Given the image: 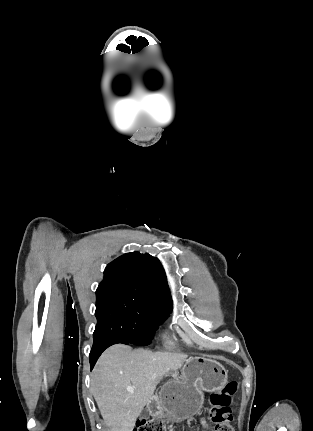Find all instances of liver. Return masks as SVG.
I'll return each instance as SVG.
<instances>
[{
    "label": "liver",
    "mask_w": 313,
    "mask_h": 431,
    "mask_svg": "<svg viewBox=\"0 0 313 431\" xmlns=\"http://www.w3.org/2000/svg\"><path fill=\"white\" fill-rule=\"evenodd\" d=\"M186 354L133 350L124 344L108 348L99 358L91 389L110 431H132L138 416L154 395L160 380L187 360ZM133 387L130 393L127 387Z\"/></svg>",
    "instance_id": "6515ba94"
}]
</instances>
